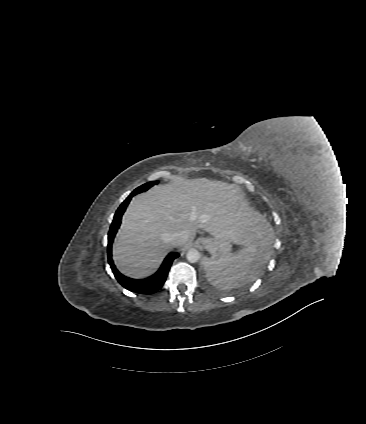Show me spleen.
<instances>
[{"label": "spleen", "instance_id": "spleen-1", "mask_svg": "<svg viewBox=\"0 0 366 424\" xmlns=\"http://www.w3.org/2000/svg\"><path fill=\"white\" fill-rule=\"evenodd\" d=\"M263 257V250L257 244H249L215 260L206 258L204 270L213 286L222 290L239 288L255 278Z\"/></svg>", "mask_w": 366, "mask_h": 424}]
</instances>
